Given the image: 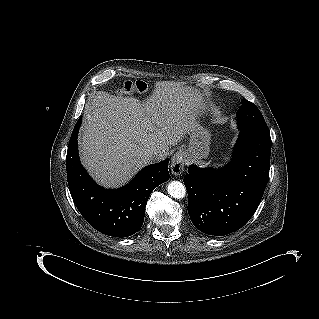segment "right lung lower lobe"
Segmentation results:
<instances>
[{"label": "right lung lower lobe", "mask_w": 319, "mask_h": 319, "mask_svg": "<svg viewBox=\"0 0 319 319\" xmlns=\"http://www.w3.org/2000/svg\"><path fill=\"white\" fill-rule=\"evenodd\" d=\"M80 125L81 118L72 132L66 157L67 178L73 201L81 215L97 231L113 237L131 236L143 224L151 192L169 179V159L145 167L123 188L104 189L90 178L81 165L77 145Z\"/></svg>", "instance_id": "right-lung-lower-lobe-1"}]
</instances>
